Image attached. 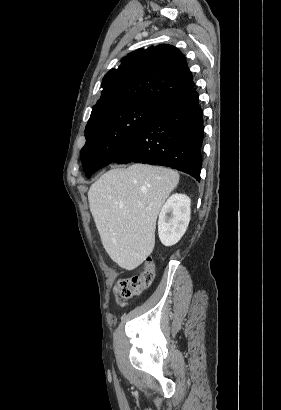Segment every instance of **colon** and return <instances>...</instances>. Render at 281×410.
Segmentation results:
<instances>
[{
	"mask_svg": "<svg viewBox=\"0 0 281 410\" xmlns=\"http://www.w3.org/2000/svg\"><path fill=\"white\" fill-rule=\"evenodd\" d=\"M154 277V263L148 259L139 275L123 278L117 282L114 288L115 295L120 300L138 296L153 283Z\"/></svg>",
	"mask_w": 281,
	"mask_h": 410,
	"instance_id": "5ec220e1",
	"label": "colon"
}]
</instances>
